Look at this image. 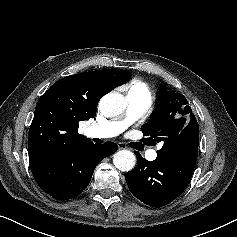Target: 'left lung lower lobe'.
Segmentation results:
<instances>
[{"label": "left lung lower lobe", "instance_id": "1", "mask_svg": "<svg viewBox=\"0 0 237 237\" xmlns=\"http://www.w3.org/2000/svg\"><path fill=\"white\" fill-rule=\"evenodd\" d=\"M197 150L180 156L157 154V158L151 162L135 152L137 165L125 176L130 192L152 207L169 204L188 186L195 168Z\"/></svg>", "mask_w": 237, "mask_h": 237}]
</instances>
